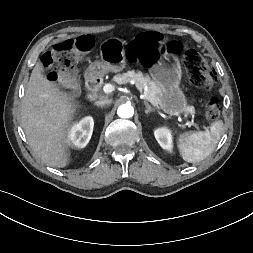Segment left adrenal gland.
<instances>
[{
  "label": "left adrenal gland",
  "mask_w": 253,
  "mask_h": 253,
  "mask_svg": "<svg viewBox=\"0 0 253 253\" xmlns=\"http://www.w3.org/2000/svg\"><path fill=\"white\" fill-rule=\"evenodd\" d=\"M144 105L146 106L145 113L148 115L150 112H154V109L149 105L147 101H144Z\"/></svg>",
  "instance_id": "obj_1"
}]
</instances>
